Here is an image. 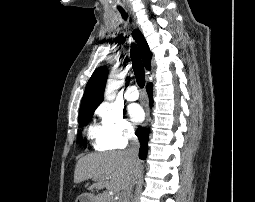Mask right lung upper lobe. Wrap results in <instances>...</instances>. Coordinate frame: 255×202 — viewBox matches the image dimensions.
<instances>
[{"instance_id": "obj_1", "label": "right lung upper lobe", "mask_w": 255, "mask_h": 202, "mask_svg": "<svg viewBox=\"0 0 255 202\" xmlns=\"http://www.w3.org/2000/svg\"><path fill=\"white\" fill-rule=\"evenodd\" d=\"M133 37L136 40L143 63L147 69H150V61L152 53L149 50L148 44L139 30L133 31ZM108 76V70L105 66L99 67L94 71L89 79L82 98L81 109H96L103 101V93Z\"/></svg>"}]
</instances>
